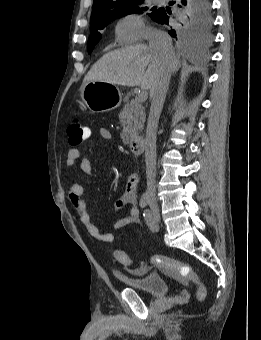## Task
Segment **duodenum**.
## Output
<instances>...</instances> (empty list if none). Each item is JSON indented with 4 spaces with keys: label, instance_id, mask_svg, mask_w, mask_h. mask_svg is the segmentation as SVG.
Returning a JSON list of instances; mask_svg holds the SVG:
<instances>
[{
    "label": "duodenum",
    "instance_id": "obj_1",
    "mask_svg": "<svg viewBox=\"0 0 261 340\" xmlns=\"http://www.w3.org/2000/svg\"><path fill=\"white\" fill-rule=\"evenodd\" d=\"M130 151L134 155H141L144 151V139L141 136L132 137L129 141Z\"/></svg>",
    "mask_w": 261,
    "mask_h": 340
}]
</instances>
